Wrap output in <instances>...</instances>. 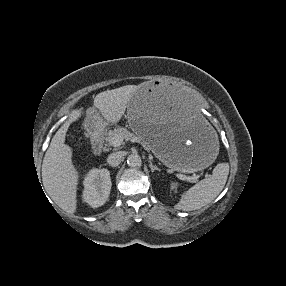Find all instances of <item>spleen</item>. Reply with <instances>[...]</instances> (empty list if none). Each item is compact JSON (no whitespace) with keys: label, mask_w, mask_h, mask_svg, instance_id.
I'll list each match as a JSON object with an SVG mask.
<instances>
[{"label":"spleen","mask_w":286,"mask_h":286,"mask_svg":"<svg viewBox=\"0 0 286 286\" xmlns=\"http://www.w3.org/2000/svg\"><path fill=\"white\" fill-rule=\"evenodd\" d=\"M228 174V163L217 164L210 177L201 180L183 193L175 208L183 211H192L209 204L223 190Z\"/></svg>","instance_id":"obj_1"}]
</instances>
